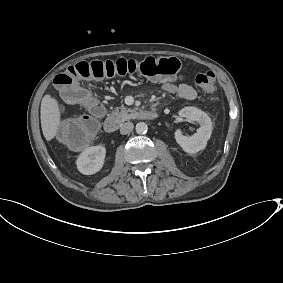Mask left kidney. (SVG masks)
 I'll return each mask as SVG.
<instances>
[{
  "label": "left kidney",
  "mask_w": 283,
  "mask_h": 283,
  "mask_svg": "<svg viewBox=\"0 0 283 283\" xmlns=\"http://www.w3.org/2000/svg\"><path fill=\"white\" fill-rule=\"evenodd\" d=\"M179 115L188 121H197L201 127L191 137L176 132L175 138L178 145L188 154H196L204 150L212 133L210 117L195 107H186L179 112Z\"/></svg>",
  "instance_id": "obj_1"
}]
</instances>
